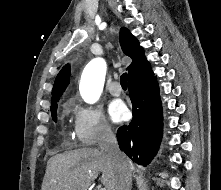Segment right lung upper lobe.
Instances as JSON below:
<instances>
[{"label":"right lung upper lobe","mask_w":221,"mask_h":190,"mask_svg":"<svg viewBox=\"0 0 221 190\" xmlns=\"http://www.w3.org/2000/svg\"><path fill=\"white\" fill-rule=\"evenodd\" d=\"M120 45L123 52L132 58V63L128 66L129 82L146 78L153 74L151 66L147 61L144 50L138 40L127 28L120 30ZM70 66L65 65L58 73L52 89L51 103L59 100L66 86L69 83Z\"/></svg>","instance_id":"cb5924a9"}]
</instances>
